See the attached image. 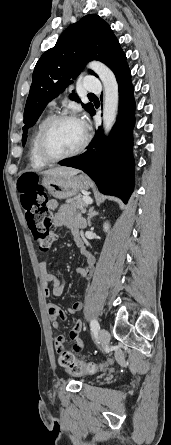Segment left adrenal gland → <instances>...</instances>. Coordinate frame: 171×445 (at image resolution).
Masks as SVG:
<instances>
[{"instance_id":"a2214340","label":"left adrenal gland","mask_w":171,"mask_h":445,"mask_svg":"<svg viewBox=\"0 0 171 445\" xmlns=\"http://www.w3.org/2000/svg\"><path fill=\"white\" fill-rule=\"evenodd\" d=\"M98 214H99V212L94 211V207H91L89 209V211H88V219H87L88 220V222H87L88 226H91V218L93 216L98 215Z\"/></svg>"}]
</instances>
